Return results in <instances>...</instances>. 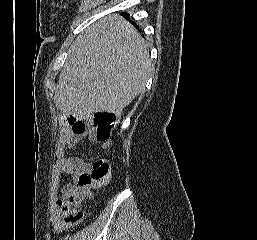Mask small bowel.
I'll return each instance as SVG.
<instances>
[{"label":"small bowel","mask_w":257,"mask_h":240,"mask_svg":"<svg viewBox=\"0 0 257 240\" xmlns=\"http://www.w3.org/2000/svg\"><path fill=\"white\" fill-rule=\"evenodd\" d=\"M85 136L91 141H98L93 130H89L87 134L77 135L70 131L67 127H63L60 133V137L56 150V163L53 168V188L57 190L62 183L65 175L71 176L76 180L80 175L87 173L91 169V163L86 162L82 158L72 155L71 151L73 147ZM100 142V149H107L110 146V141H98ZM74 188V185L67 183L62 187V195L67 194ZM50 222L52 230L59 234L67 230L68 224L63 218L62 212L57 204V200L53 202L50 208Z\"/></svg>","instance_id":"obj_1"}]
</instances>
